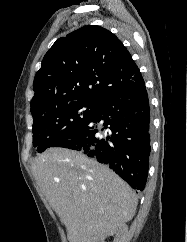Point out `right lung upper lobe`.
Returning a JSON list of instances; mask_svg holds the SVG:
<instances>
[{
	"instance_id": "obj_1",
	"label": "right lung upper lobe",
	"mask_w": 187,
	"mask_h": 242,
	"mask_svg": "<svg viewBox=\"0 0 187 242\" xmlns=\"http://www.w3.org/2000/svg\"><path fill=\"white\" fill-rule=\"evenodd\" d=\"M143 83L131 54L113 33L85 26L59 38L45 54L30 110L36 117L72 102L98 105Z\"/></svg>"
}]
</instances>
